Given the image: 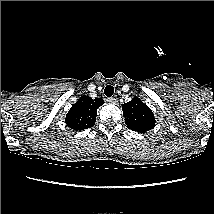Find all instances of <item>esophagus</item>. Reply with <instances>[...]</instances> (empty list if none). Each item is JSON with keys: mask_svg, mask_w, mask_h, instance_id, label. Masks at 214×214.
<instances>
[{"mask_svg": "<svg viewBox=\"0 0 214 214\" xmlns=\"http://www.w3.org/2000/svg\"><path fill=\"white\" fill-rule=\"evenodd\" d=\"M107 101L111 104H115L117 102V99L115 97H111V98H108Z\"/></svg>", "mask_w": 214, "mask_h": 214, "instance_id": "esophagus-1", "label": "esophagus"}]
</instances>
